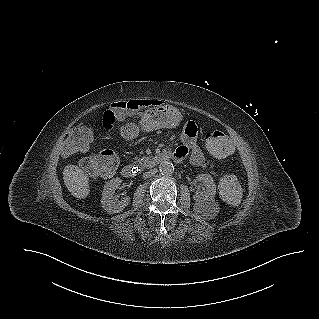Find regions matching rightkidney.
Returning <instances> with one entry per match:
<instances>
[{"label": "right kidney", "mask_w": 319, "mask_h": 319, "mask_svg": "<svg viewBox=\"0 0 319 319\" xmlns=\"http://www.w3.org/2000/svg\"><path fill=\"white\" fill-rule=\"evenodd\" d=\"M122 180L120 178H114L105 183L102 192V207L109 214L122 212L126 206L130 203V197H123L121 200L114 198V192L119 188Z\"/></svg>", "instance_id": "ca27d5eb"}]
</instances>
